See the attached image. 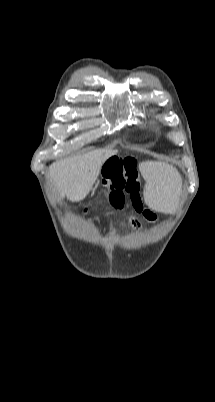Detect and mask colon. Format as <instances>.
Returning a JSON list of instances; mask_svg holds the SVG:
<instances>
[{"mask_svg": "<svg viewBox=\"0 0 215 402\" xmlns=\"http://www.w3.org/2000/svg\"><path fill=\"white\" fill-rule=\"evenodd\" d=\"M101 177L105 179V194L112 207L121 208L127 193L137 211L143 213L148 220L156 218L153 212L144 208L137 161L133 156H109L108 160L104 161ZM137 222L136 219L129 220L132 226H135Z\"/></svg>", "mask_w": 215, "mask_h": 402, "instance_id": "colon-1", "label": "colon"}]
</instances>
